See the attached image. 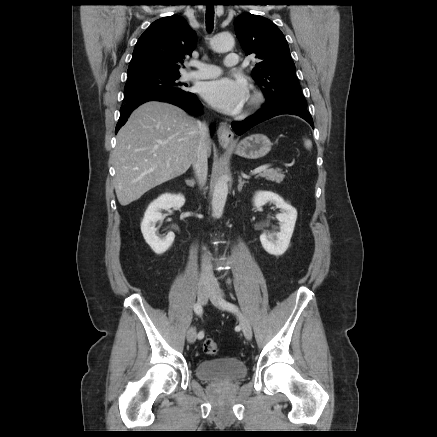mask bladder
I'll return each mask as SVG.
<instances>
[{
	"label": "bladder",
	"instance_id": "1",
	"mask_svg": "<svg viewBox=\"0 0 437 437\" xmlns=\"http://www.w3.org/2000/svg\"><path fill=\"white\" fill-rule=\"evenodd\" d=\"M199 379L215 382L236 381L247 374L245 363L237 358L225 357L200 361L195 368Z\"/></svg>",
	"mask_w": 437,
	"mask_h": 437
}]
</instances>
